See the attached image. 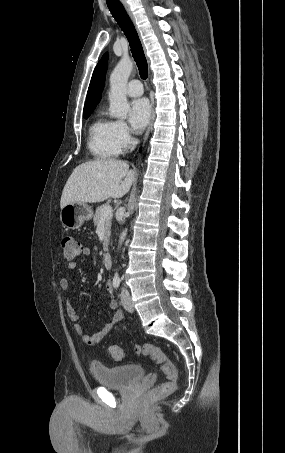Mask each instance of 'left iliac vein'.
<instances>
[{
	"mask_svg": "<svg viewBox=\"0 0 285 453\" xmlns=\"http://www.w3.org/2000/svg\"><path fill=\"white\" fill-rule=\"evenodd\" d=\"M121 302H122V305L123 307L129 311V312H133V303H132V299H131V296L128 292V290L123 287L122 290H121Z\"/></svg>",
	"mask_w": 285,
	"mask_h": 453,
	"instance_id": "1",
	"label": "left iliac vein"
}]
</instances>
